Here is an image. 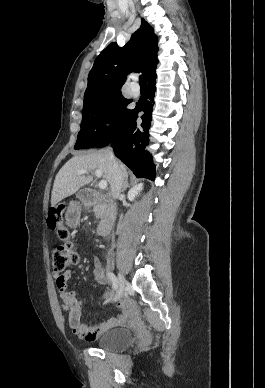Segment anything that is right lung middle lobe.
I'll return each mask as SVG.
<instances>
[{
  "instance_id": "obj_1",
  "label": "right lung middle lobe",
  "mask_w": 265,
  "mask_h": 388,
  "mask_svg": "<svg viewBox=\"0 0 265 388\" xmlns=\"http://www.w3.org/2000/svg\"><path fill=\"white\" fill-rule=\"evenodd\" d=\"M120 89L106 90L84 99L81 130L74 149L104 147L117 136L131 110ZM114 117L113 126L104 125V117Z\"/></svg>"
}]
</instances>
